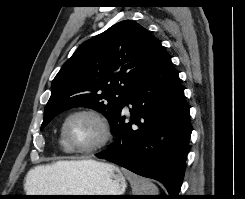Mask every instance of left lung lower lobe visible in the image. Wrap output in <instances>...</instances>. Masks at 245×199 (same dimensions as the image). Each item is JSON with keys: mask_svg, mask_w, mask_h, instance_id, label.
<instances>
[{"mask_svg": "<svg viewBox=\"0 0 245 199\" xmlns=\"http://www.w3.org/2000/svg\"><path fill=\"white\" fill-rule=\"evenodd\" d=\"M128 103L132 108L126 123ZM110 124L114 143L96 156L163 183L169 199H177L192 128L184 89L165 51Z\"/></svg>", "mask_w": 245, "mask_h": 199, "instance_id": "left-lung-lower-lobe-1", "label": "left lung lower lobe"}]
</instances>
